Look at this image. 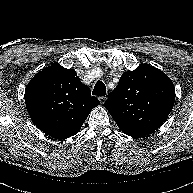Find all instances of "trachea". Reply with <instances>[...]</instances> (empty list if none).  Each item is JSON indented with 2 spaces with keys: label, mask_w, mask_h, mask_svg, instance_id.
<instances>
[{
  "label": "trachea",
  "mask_w": 193,
  "mask_h": 193,
  "mask_svg": "<svg viewBox=\"0 0 193 193\" xmlns=\"http://www.w3.org/2000/svg\"><path fill=\"white\" fill-rule=\"evenodd\" d=\"M106 94V87L102 81H97L92 91V95L95 96H105Z\"/></svg>",
  "instance_id": "trachea-1"
}]
</instances>
